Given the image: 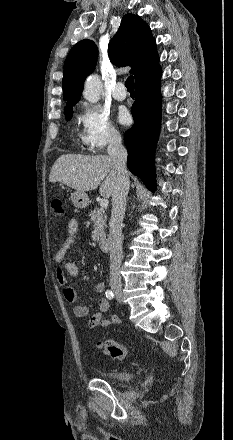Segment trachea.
Returning <instances> with one entry per match:
<instances>
[{
    "label": "trachea",
    "instance_id": "1",
    "mask_svg": "<svg viewBox=\"0 0 233 440\" xmlns=\"http://www.w3.org/2000/svg\"><path fill=\"white\" fill-rule=\"evenodd\" d=\"M125 86L129 92H134V77L129 76L125 81Z\"/></svg>",
    "mask_w": 233,
    "mask_h": 440
}]
</instances>
